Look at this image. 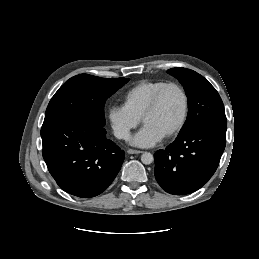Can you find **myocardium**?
Segmentation results:
<instances>
[{
  "instance_id": "myocardium-1",
  "label": "myocardium",
  "mask_w": 259,
  "mask_h": 259,
  "mask_svg": "<svg viewBox=\"0 0 259 259\" xmlns=\"http://www.w3.org/2000/svg\"><path fill=\"white\" fill-rule=\"evenodd\" d=\"M171 87L178 89L179 92L181 93V95L183 97V111H182L181 118H180L179 122L177 123V125L169 133H167L164 137H162V139H164V140H168V139H171L174 136H176L183 129V127L186 123V120L188 117V112H189V97H188V94H187L186 90L184 89V87L176 82H167L166 84H164L155 93L152 101L150 102L149 106L146 108V110L144 111V113L141 117V121L144 124L145 120L158 109L165 91Z\"/></svg>"
}]
</instances>
